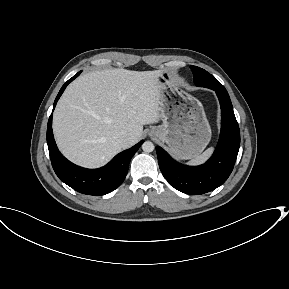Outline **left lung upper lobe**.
I'll return each mask as SVG.
<instances>
[{
  "label": "left lung upper lobe",
  "instance_id": "obj_1",
  "mask_svg": "<svg viewBox=\"0 0 289 289\" xmlns=\"http://www.w3.org/2000/svg\"><path fill=\"white\" fill-rule=\"evenodd\" d=\"M194 75V83L196 86L210 88L212 90L220 89L225 90L224 86L211 74L204 69L191 66L190 67Z\"/></svg>",
  "mask_w": 289,
  "mask_h": 289
}]
</instances>
